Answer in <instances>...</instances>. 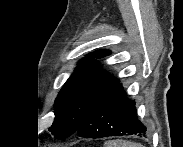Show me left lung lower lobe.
<instances>
[{"mask_svg": "<svg viewBox=\"0 0 183 147\" xmlns=\"http://www.w3.org/2000/svg\"><path fill=\"white\" fill-rule=\"evenodd\" d=\"M147 131L137 118L135 101L126 97L118 82L95 104L76 134L84 138H102L145 135Z\"/></svg>", "mask_w": 183, "mask_h": 147, "instance_id": "left-lung-lower-lobe-1", "label": "left lung lower lobe"}]
</instances>
